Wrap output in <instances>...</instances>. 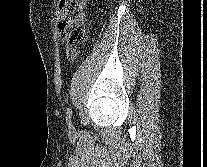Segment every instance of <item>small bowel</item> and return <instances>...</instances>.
Here are the masks:
<instances>
[{"instance_id":"obj_1","label":"small bowel","mask_w":207,"mask_h":167,"mask_svg":"<svg viewBox=\"0 0 207 167\" xmlns=\"http://www.w3.org/2000/svg\"><path fill=\"white\" fill-rule=\"evenodd\" d=\"M66 53H67V58L70 61L75 60L76 56H77V50L75 47H71V46H66Z\"/></svg>"}]
</instances>
